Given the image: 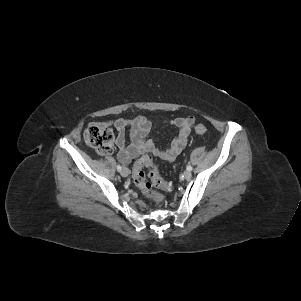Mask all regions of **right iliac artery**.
Wrapping results in <instances>:
<instances>
[{"instance_id":"right-iliac-artery-1","label":"right iliac artery","mask_w":301,"mask_h":301,"mask_svg":"<svg viewBox=\"0 0 301 301\" xmlns=\"http://www.w3.org/2000/svg\"><path fill=\"white\" fill-rule=\"evenodd\" d=\"M121 169H122L121 165H120V164H118V165H117V170L120 172V171H121Z\"/></svg>"}]
</instances>
